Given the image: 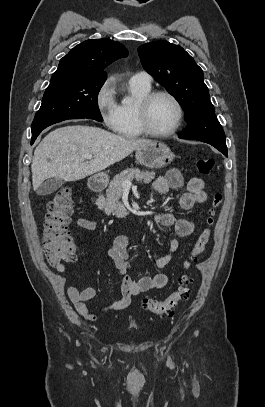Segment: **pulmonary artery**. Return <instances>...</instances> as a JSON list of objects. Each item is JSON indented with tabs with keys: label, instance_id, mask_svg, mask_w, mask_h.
<instances>
[{
	"label": "pulmonary artery",
	"instance_id": "pulmonary-artery-1",
	"mask_svg": "<svg viewBox=\"0 0 265 407\" xmlns=\"http://www.w3.org/2000/svg\"><path fill=\"white\" fill-rule=\"evenodd\" d=\"M130 81L149 86L151 85L152 77L147 72L142 71L132 75Z\"/></svg>",
	"mask_w": 265,
	"mask_h": 407
}]
</instances>
